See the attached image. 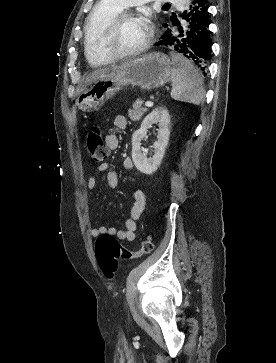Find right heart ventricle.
I'll list each match as a JSON object with an SVG mask.
<instances>
[{
  "label": "right heart ventricle",
  "mask_w": 276,
  "mask_h": 363,
  "mask_svg": "<svg viewBox=\"0 0 276 363\" xmlns=\"http://www.w3.org/2000/svg\"><path fill=\"white\" fill-rule=\"evenodd\" d=\"M120 11L121 8L114 2L101 0L87 19L85 55L94 66H104L113 62L102 48L101 36L108 22Z\"/></svg>",
  "instance_id": "e07e8e85"
}]
</instances>
